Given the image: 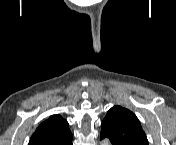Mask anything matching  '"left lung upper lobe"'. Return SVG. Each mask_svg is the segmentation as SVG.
<instances>
[{
  "instance_id": "1",
  "label": "left lung upper lobe",
  "mask_w": 176,
  "mask_h": 145,
  "mask_svg": "<svg viewBox=\"0 0 176 145\" xmlns=\"http://www.w3.org/2000/svg\"><path fill=\"white\" fill-rule=\"evenodd\" d=\"M113 145H148L147 137L136 115L121 106H114L102 122L101 139Z\"/></svg>"
}]
</instances>
